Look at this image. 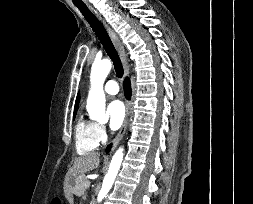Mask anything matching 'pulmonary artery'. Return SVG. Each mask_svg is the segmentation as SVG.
<instances>
[{
  "label": "pulmonary artery",
  "instance_id": "e3ab8cb5",
  "mask_svg": "<svg viewBox=\"0 0 253 204\" xmlns=\"http://www.w3.org/2000/svg\"><path fill=\"white\" fill-rule=\"evenodd\" d=\"M104 91L108 95H116L119 92L118 83L115 80H109L104 86Z\"/></svg>",
  "mask_w": 253,
  "mask_h": 204
}]
</instances>
